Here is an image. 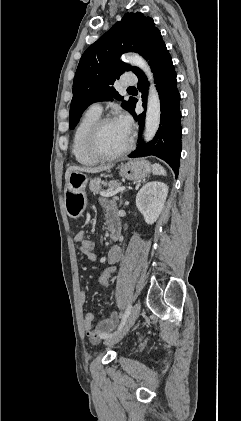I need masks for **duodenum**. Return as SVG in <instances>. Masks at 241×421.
<instances>
[{
    "mask_svg": "<svg viewBox=\"0 0 241 421\" xmlns=\"http://www.w3.org/2000/svg\"><path fill=\"white\" fill-rule=\"evenodd\" d=\"M109 230L113 239H118L121 233V225L117 216H111L108 219Z\"/></svg>",
    "mask_w": 241,
    "mask_h": 421,
    "instance_id": "410a0bca",
    "label": "duodenum"
}]
</instances>
